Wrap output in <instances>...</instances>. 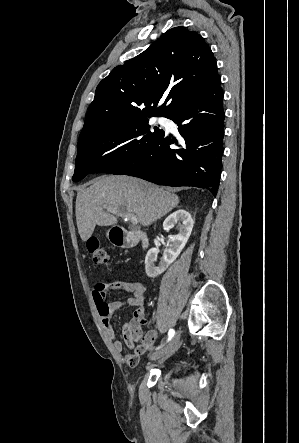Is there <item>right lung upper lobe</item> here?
Segmentation results:
<instances>
[{"label":"right lung upper lobe","mask_w":299,"mask_h":443,"mask_svg":"<svg viewBox=\"0 0 299 443\" xmlns=\"http://www.w3.org/2000/svg\"><path fill=\"white\" fill-rule=\"evenodd\" d=\"M218 75L204 38L175 27L97 86L80 138L104 126L148 116H165ZM165 102L155 108L161 98Z\"/></svg>","instance_id":"right-lung-upper-lobe-1"}]
</instances>
